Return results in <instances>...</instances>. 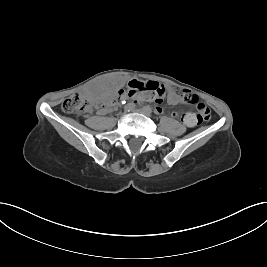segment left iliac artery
<instances>
[{
    "mask_svg": "<svg viewBox=\"0 0 267 267\" xmlns=\"http://www.w3.org/2000/svg\"><path fill=\"white\" fill-rule=\"evenodd\" d=\"M144 109H146L147 111H149L150 113H152V109L149 106H145Z\"/></svg>",
    "mask_w": 267,
    "mask_h": 267,
    "instance_id": "1",
    "label": "left iliac artery"
}]
</instances>
